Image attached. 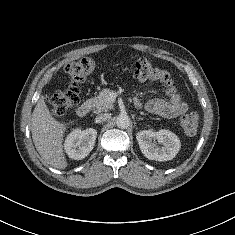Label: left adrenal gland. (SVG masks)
Instances as JSON below:
<instances>
[{"mask_svg": "<svg viewBox=\"0 0 235 235\" xmlns=\"http://www.w3.org/2000/svg\"><path fill=\"white\" fill-rule=\"evenodd\" d=\"M138 119H139V120H143V118H141V117H140V118H138Z\"/></svg>", "mask_w": 235, "mask_h": 235, "instance_id": "a2214340", "label": "left adrenal gland"}]
</instances>
